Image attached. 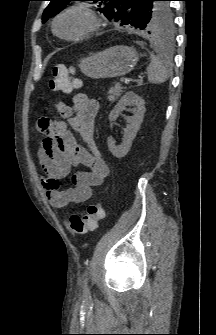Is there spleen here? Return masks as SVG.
I'll return each instance as SVG.
<instances>
[{
    "mask_svg": "<svg viewBox=\"0 0 216 335\" xmlns=\"http://www.w3.org/2000/svg\"><path fill=\"white\" fill-rule=\"evenodd\" d=\"M151 62L147 67L148 80L151 83H164L170 74L169 64L162 54L150 56Z\"/></svg>",
    "mask_w": 216,
    "mask_h": 335,
    "instance_id": "3e777b00",
    "label": "spleen"
}]
</instances>
